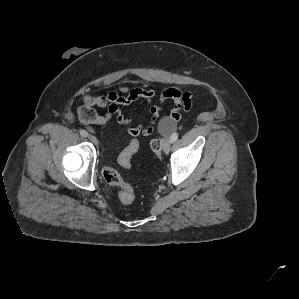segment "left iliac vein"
Listing matches in <instances>:
<instances>
[{
    "mask_svg": "<svg viewBox=\"0 0 299 299\" xmlns=\"http://www.w3.org/2000/svg\"><path fill=\"white\" fill-rule=\"evenodd\" d=\"M171 140L170 139H166L163 145V150L164 152L167 154L169 153L170 149H171Z\"/></svg>",
    "mask_w": 299,
    "mask_h": 299,
    "instance_id": "4c4485c4",
    "label": "left iliac vein"
}]
</instances>
